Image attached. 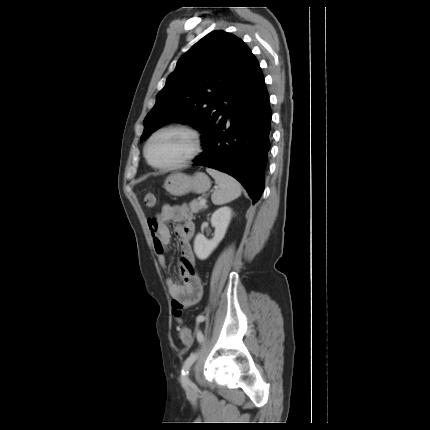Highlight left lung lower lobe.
I'll return each instance as SVG.
<instances>
[{"mask_svg": "<svg viewBox=\"0 0 430 430\" xmlns=\"http://www.w3.org/2000/svg\"><path fill=\"white\" fill-rule=\"evenodd\" d=\"M250 81L252 88L233 100L218 123L201 136L204 151L193 160V165L233 176L254 204L264 190L272 113L261 68Z\"/></svg>", "mask_w": 430, "mask_h": 430, "instance_id": "obj_1", "label": "left lung lower lobe"}]
</instances>
